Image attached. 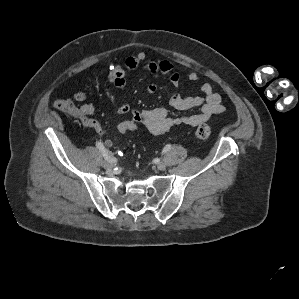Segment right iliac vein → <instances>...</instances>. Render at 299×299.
<instances>
[{"mask_svg":"<svg viewBox=\"0 0 299 299\" xmlns=\"http://www.w3.org/2000/svg\"><path fill=\"white\" fill-rule=\"evenodd\" d=\"M103 167L105 169H111V168H113V164L111 162L105 160V161H103Z\"/></svg>","mask_w":299,"mask_h":299,"instance_id":"obj_1","label":"right iliac vein"}]
</instances>
